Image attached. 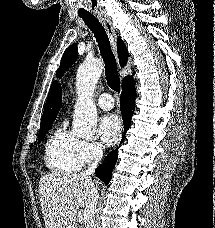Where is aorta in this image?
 Wrapping results in <instances>:
<instances>
[{
  "label": "aorta",
  "instance_id": "1",
  "mask_svg": "<svg viewBox=\"0 0 215 228\" xmlns=\"http://www.w3.org/2000/svg\"><path fill=\"white\" fill-rule=\"evenodd\" d=\"M102 70L100 60H86L77 70L76 86L80 98L75 106L72 122L75 136L85 138L95 134L98 116L92 94Z\"/></svg>",
  "mask_w": 215,
  "mask_h": 228
}]
</instances>
